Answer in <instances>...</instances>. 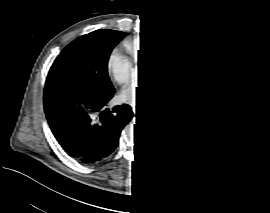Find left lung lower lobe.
Here are the masks:
<instances>
[{"instance_id":"0a47b994","label":"left lung lower lobe","mask_w":270,"mask_h":213,"mask_svg":"<svg viewBox=\"0 0 270 213\" xmlns=\"http://www.w3.org/2000/svg\"><path fill=\"white\" fill-rule=\"evenodd\" d=\"M221 100H175L161 111L153 129L158 150L177 165L189 163L213 151L226 125Z\"/></svg>"}]
</instances>
